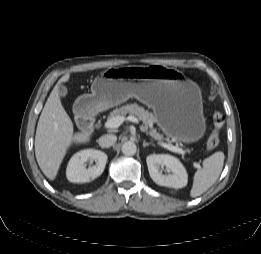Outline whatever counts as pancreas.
<instances>
[{
	"mask_svg": "<svg viewBox=\"0 0 261 254\" xmlns=\"http://www.w3.org/2000/svg\"><path fill=\"white\" fill-rule=\"evenodd\" d=\"M127 114L130 115H135L137 116L140 120L143 121L145 128L147 129L148 126L155 121L154 115L149 112L148 110H145L142 106H139L137 103H130L126 104L120 108H116L113 110L108 118H113L117 116H123L125 117ZM149 135L157 141H162L164 140L163 135L157 132L156 129L152 128L149 131Z\"/></svg>",
	"mask_w": 261,
	"mask_h": 254,
	"instance_id": "1",
	"label": "pancreas"
}]
</instances>
